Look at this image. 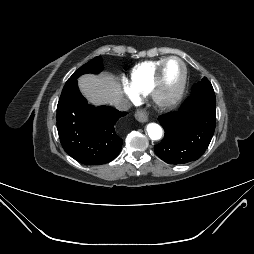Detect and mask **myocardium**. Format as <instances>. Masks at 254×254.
I'll list each match as a JSON object with an SVG mask.
<instances>
[{
  "instance_id": "f54148a6",
  "label": "myocardium",
  "mask_w": 254,
  "mask_h": 254,
  "mask_svg": "<svg viewBox=\"0 0 254 254\" xmlns=\"http://www.w3.org/2000/svg\"><path fill=\"white\" fill-rule=\"evenodd\" d=\"M172 60L178 61L180 63L182 67V75L175 91L169 96H164L162 93L164 70L166 65ZM187 76H188L187 66L181 58L177 56H169L165 58L159 65L155 73L154 80L149 91L150 98L154 103V105L162 110H168L175 107L181 101L185 93L187 85Z\"/></svg>"
}]
</instances>
